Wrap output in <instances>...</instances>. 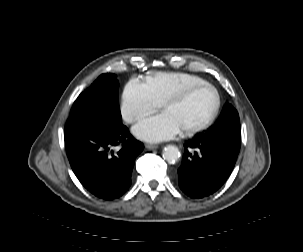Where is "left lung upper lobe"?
<instances>
[{"label": "left lung upper lobe", "mask_w": 303, "mask_h": 252, "mask_svg": "<svg viewBox=\"0 0 303 252\" xmlns=\"http://www.w3.org/2000/svg\"><path fill=\"white\" fill-rule=\"evenodd\" d=\"M200 136L208 140L240 143L241 130L238 112L227 103L217 122Z\"/></svg>", "instance_id": "5c2ea615"}]
</instances>
